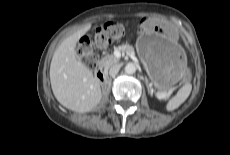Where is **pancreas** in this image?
Returning a JSON list of instances; mask_svg holds the SVG:
<instances>
[{
  "label": "pancreas",
  "instance_id": "pancreas-1",
  "mask_svg": "<svg viewBox=\"0 0 230 155\" xmlns=\"http://www.w3.org/2000/svg\"><path fill=\"white\" fill-rule=\"evenodd\" d=\"M119 50L127 52L128 54H134V49L133 47H128L126 45H121L118 47ZM119 62V59L116 58L112 54H107L104 56L100 61L99 65L102 67L105 71H107L112 65L116 64ZM167 96V95H166Z\"/></svg>",
  "mask_w": 230,
  "mask_h": 155
}]
</instances>
